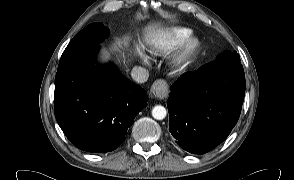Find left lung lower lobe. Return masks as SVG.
Returning <instances> with one entry per match:
<instances>
[{"instance_id":"left-lung-lower-lobe-1","label":"left lung lower lobe","mask_w":294,"mask_h":180,"mask_svg":"<svg viewBox=\"0 0 294 180\" xmlns=\"http://www.w3.org/2000/svg\"><path fill=\"white\" fill-rule=\"evenodd\" d=\"M170 90L169 131L184 150L204 154L222 143L236 125L245 74L240 63L210 62L184 73Z\"/></svg>"}]
</instances>
